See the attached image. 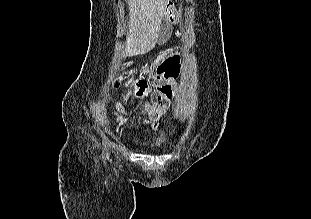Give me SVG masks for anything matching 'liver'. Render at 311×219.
<instances>
[{
  "instance_id": "6515ba94",
  "label": "liver",
  "mask_w": 311,
  "mask_h": 219,
  "mask_svg": "<svg viewBox=\"0 0 311 219\" xmlns=\"http://www.w3.org/2000/svg\"><path fill=\"white\" fill-rule=\"evenodd\" d=\"M169 0H130V33L125 55L151 50L157 41L160 24Z\"/></svg>"
}]
</instances>
